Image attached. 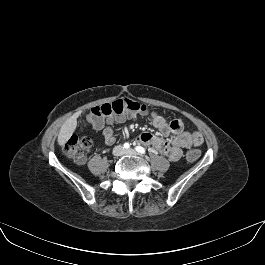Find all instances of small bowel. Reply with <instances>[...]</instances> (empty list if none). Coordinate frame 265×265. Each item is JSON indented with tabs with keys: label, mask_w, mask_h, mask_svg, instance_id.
<instances>
[{
	"label": "small bowel",
	"mask_w": 265,
	"mask_h": 265,
	"mask_svg": "<svg viewBox=\"0 0 265 265\" xmlns=\"http://www.w3.org/2000/svg\"><path fill=\"white\" fill-rule=\"evenodd\" d=\"M132 116L133 115L117 116L107 124L97 127L102 130L107 145H112L116 139V129L112 126V122L123 123L126 118ZM149 121L162 136L172 135V139L167 140L151 133H142L138 136V141L167 156L171 161H178L182 156L183 149L199 146L203 142L200 133L185 132L183 130V122L180 119L167 121L160 114L151 113L149 114Z\"/></svg>",
	"instance_id": "obj_1"
}]
</instances>
